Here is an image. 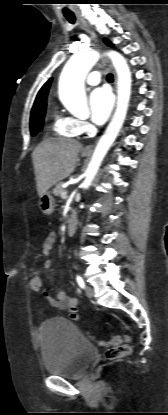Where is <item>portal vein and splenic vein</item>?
<instances>
[{
    "label": "portal vein and splenic vein",
    "mask_w": 168,
    "mask_h": 415,
    "mask_svg": "<svg viewBox=\"0 0 168 415\" xmlns=\"http://www.w3.org/2000/svg\"><path fill=\"white\" fill-rule=\"evenodd\" d=\"M68 196H67V192L66 191H63L62 193H61V198H63V199H66Z\"/></svg>",
    "instance_id": "18ae733b"
}]
</instances>
